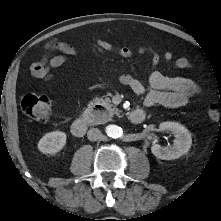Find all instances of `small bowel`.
<instances>
[{
	"label": "small bowel",
	"instance_id": "c3829d8e",
	"mask_svg": "<svg viewBox=\"0 0 221 221\" xmlns=\"http://www.w3.org/2000/svg\"><path fill=\"white\" fill-rule=\"evenodd\" d=\"M104 49L114 52L122 58H132L133 50L128 47L114 48L106 42H100ZM46 54L41 60L33 62L30 65V73L34 78L40 80H50L53 75L50 73L51 69L58 68L64 65L69 55L78 53V49L72 45L60 42L57 39L50 40L44 45ZM61 51L62 54L56 56H49L50 52ZM139 54L149 53L151 55V64L156 68L162 59L165 62L172 60V53L165 52L163 58L155 51L141 47L137 50ZM191 66L187 58H178L173 62L175 69H187ZM119 81L129 86L137 95H145L143 101V108H150L155 105H162L165 107L178 108L188 104L190 99L199 94V88L195 82L188 78L180 76L166 75L158 70H154L148 77V88L137 78L130 74H122Z\"/></svg>",
	"mask_w": 221,
	"mask_h": 221
}]
</instances>
